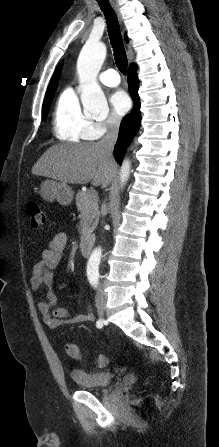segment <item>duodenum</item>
<instances>
[{
    "label": "duodenum",
    "mask_w": 219,
    "mask_h": 447,
    "mask_svg": "<svg viewBox=\"0 0 219 447\" xmlns=\"http://www.w3.org/2000/svg\"><path fill=\"white\" fill-rule=\"evenodd\" d=\"M92 249V238L91 237H85L81 240L80 243V250L83 254V256H89Z\"/></svg>",
    "instance_id": "obj_1"
}]
</instances>
